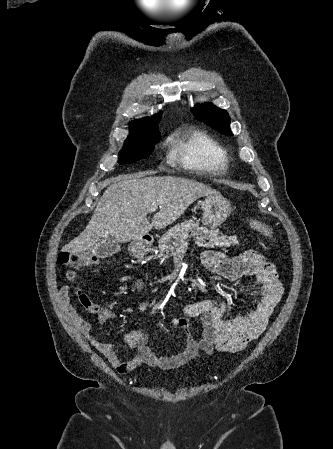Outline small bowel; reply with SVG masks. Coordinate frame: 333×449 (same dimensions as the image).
I'll return each mask as SVG.
<instances>
[{
    "label": "small bowel",
    "instance_id": "1",
    "mask_svg": "<svg viewBox=\"0 0 333 449\" xmlns=\"http://www.w3.org/2000/svg\"><path fill=\"white\" fill-rule=\"evenodd\" d=\"M201 263L208 271L229 281L247 279L255 282L261 288V297L253 311L234 319H224L226 306L221 301L202 300L187 303L183 307L182 316L173 320V326L183 330L186 337L185 349L176 355L157 356L150 347L147 334L138 328L125 337L127 345L136 348V355L131 359L121 358L116 345L101 341L92 332L91 324L72 306L71 291L85 310L98 313L102 321L115 317L111 309L101 308L78 286V274L74 269L68 270L65 274L70 285L60 288L59 302L70 321L120 374L129 373L141 364L172 369L198 358L200 354L210 355L214 350L227 352L243 350L264 332L273 310L283 295V286L276 267L254 251L245 252L232 259H228L219 251H205L201 255ZM148 304L147 299L142 300L139 303V310L145 312ZM194 317H199L203 321V332L199 339H195L190 331L189 318Z\"/></svg>",
    "mask_w": 333,
    "mask_h": 449
}]
</instances>
